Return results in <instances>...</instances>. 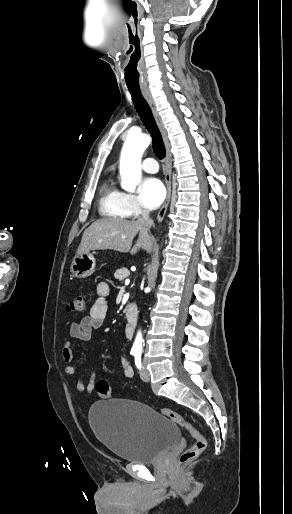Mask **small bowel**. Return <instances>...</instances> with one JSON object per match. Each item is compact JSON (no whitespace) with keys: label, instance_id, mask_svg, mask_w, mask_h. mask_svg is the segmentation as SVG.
I'll return each mask as SVG.
<instances>
[{"label":"small bowel","instance_id":"1","mask_svg":"<svg viewBox=\"0 0 292 514\" xmlns=\"http://www.w3.org/2000/svg\"><path fill=\"white\" fill-rule=\"evenodd\" d=\"M96 293L97 299L92 304L89 314L70 325L69 335L72 340L88 341L91 338L92 331L101 328L105 324L108 316L106 297L110 293L108 283L104 281L97 283ZM62 357L67 363L65 373L70 376L75 375V355L71 341L64 343ZM120 367L125 378L130 379L134 376V370L127 359H121ZM95 380L96 374L93 370H90L88 382H85L83 379H78L75 383V387L80 392L87 391L91 393L95 388Z\"/></svg>","mask_w":292,"mask_h":514}]
</instances>
